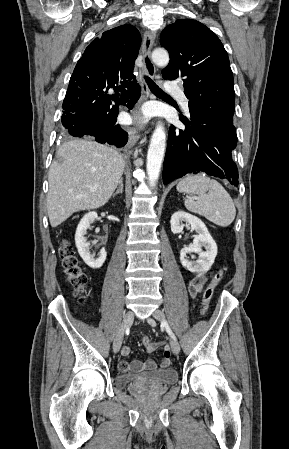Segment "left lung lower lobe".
Masks as SVG:
<instances>
[{
  "instance_id": "left-lung-lower-lobe-1",
  "label": "left lung lower lobe",
  "mask_w": 289,
  "mask_h": 449,
  "mask_svg": "<svg viewBox=\"0 0 289 449\" xmlns=\"http://www.w3.org/2000/svg\"><path fill=\"white\" fill-rule=\"evenodd\" d=\"M191 119L181 117L185 130L173 125L163 166V182L167 184L187 173L205 172L238 185V170L233 160L237 135L234 125L190 111Z\"/></svg>"
}]
</instances>
